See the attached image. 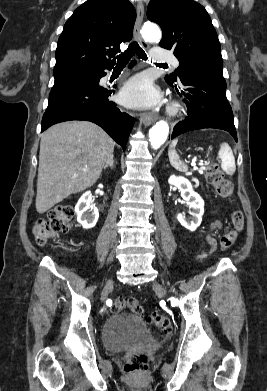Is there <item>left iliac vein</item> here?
<instances>
[{"instance_id": "4c4485c4", "label": "left iliac vein", "mask_w": 267, "mask_h": 391, "mask_svg": "<svg viewBox=\"0 0 267 391\" xmlns=\"http://www.w3.org/2000/svg\"><path fill=\"white\" fill-rule=\"evenodd\" d=\"M153 287H154V289L156 290V291H158L160 294H162L163 296H166L167 295V290H166V288L162 285V284H160V283H158V282H154L153 283Z\"/></svg>"}]
</instances>
